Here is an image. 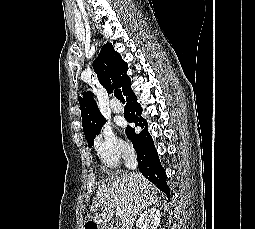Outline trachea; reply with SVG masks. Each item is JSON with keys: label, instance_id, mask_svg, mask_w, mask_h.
Segmentation results:
<instances>
[{"label": "trachea", "instance_id": "3493384b", "mask_svg": "<svg viewBox=\"0 0 255 229\" xmlns=\"http://www.w3.org/2000/svg\"><path fill=\"white\" fill-rule=\"evenodd\" d=\"M114 95L117 99H119L120 101H125L122 91L120 89L115 90Z\"/></svg>", "mask_w": 255, "mask_h": 229}]
</instances>
